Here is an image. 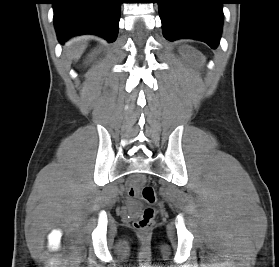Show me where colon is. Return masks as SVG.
<instances>
[{
    "instance_id": "1",
    "label": "colon",
    "mask_w": 279,
    "mask_h": 267,
    "mask_svg": "<svg viewBox=\"0 0 279 267\" xmlns=\"http://www.w3.org/2000/svg\"><path fill=\"white\" fill-rule=\"evenodd\" d=\"M142 182V179L139 178V184ZM138 184V185H139ZM141 196L143 200L148 203L149 205H152L157 200L156 191L153 186L149 184H144L141 187ZM155 220V210L153 207L149 206L147 207L141 217L134 222V227L138 231L145 232L148 231L154 224Z\"/></svg>"
}]
</instances>
